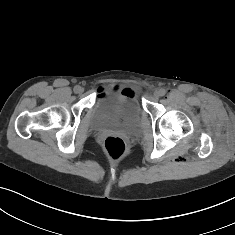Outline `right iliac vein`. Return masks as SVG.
Masks as SVG:
<instances>
[{"label":"right iliac vein","instance_id":"obj_1","mask_svg":"<svg viewBox=\"0 0 235 235\" xmlns=\"http://www.w3.org/2000/svg\"><path fill=\"white\" fill-rule=\"evenodd\" d=\"M83 92H84V88L79 86V88H78L76 93L81 94Z\"/></svg>","mask_w":235,"mask_h":235}]
</instances>
